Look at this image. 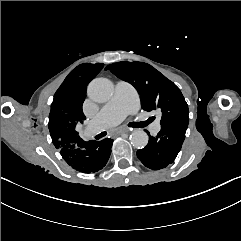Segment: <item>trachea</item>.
Wrapping results in <instances>:
<instances>
[{
	"label": "trachea",
	"instance_id": "1",
	"mask_svg": "<svg viewBox=\"0 0 241 241\" xmlns=\"http://www.w3.org/2000/svg\"><path fill=\"white\" fill-rule=\"evenodd\" d=\"M106 134H107L106 132H101L100 134L95 136V139H100V138L106 136Z\"/></svg>",
	"mask_w": 241,
	"mask_h": 241
}]
</instances>
